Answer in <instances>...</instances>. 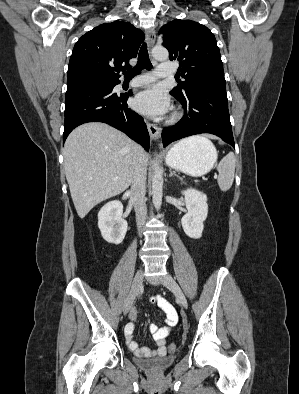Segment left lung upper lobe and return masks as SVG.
Here are the masks:
<instances>
[{"mask_svg":"<svg viewBox=\"0 0 299 394\" xmlns=\"http://www.w3.org/2000/svg\"><path fill=\"white\" fill-rule=\"evenodd\" d=\"M163 45L169 59L179 61V75L184 78L170 92L178 99L198 83H225L223 63L213 33L204 25L191 20L175 19L164 25Z\"/></svg>","mask_w":299,"mask_h":394,"instance_id":"1","label":"left lung upper lobe"}]
</instances>
